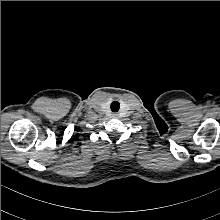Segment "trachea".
Returning <instances> with one entry per match:
<instances>
[{"instance_id":"1","label":"trachea","mask_w":220,"mask_h":220,"mask_svg":"<svg viewBox=\"0 0 220 220\" xmlns=\"http://www.w3.org/2000/svg\"><path fill=\"white\" fill-rule=\"evenodd\" d=\"M111 111L112 112H118V110L120 109V104L118 101H113L110 105Z\"/></svg>"}]
</instances>
